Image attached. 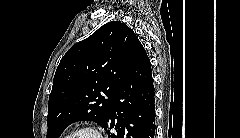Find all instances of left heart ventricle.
<instances>
[{"label":"left heart ventricle","mask_w":240,"mask_h":138,"mask_svg":"<svg viewBox=\"0 0 240 138\" xmlns=\"http://www.w3.org/2000/svg\"><path fill=\"white\" fill-rule=\"evenodd\" d=\"M78 138H96V137L92 133L84 132V133L80 134Z\"/></svg>","instance_id":"left-heart-ventricle-1"}]
</instances>
